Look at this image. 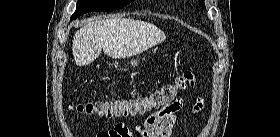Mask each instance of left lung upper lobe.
Masks as SVG:
<instances>
[{
	"label": "left lung upper lobe",
	"mask_w": 280,
	"mask_h": 137,
	"mask_svg": "<svg viewBox=\"0 0 280 137\" xmlns=\"http://www.w3.org/2000/svg\"><path fill=\"white\" fill-rule=\"evenodd\" d=\"M200 3H201V5L203 6V7H205V5H204V0H198Z\"/></svg>",
	"instance_id": "5c2ea615"
}]
</instances>
